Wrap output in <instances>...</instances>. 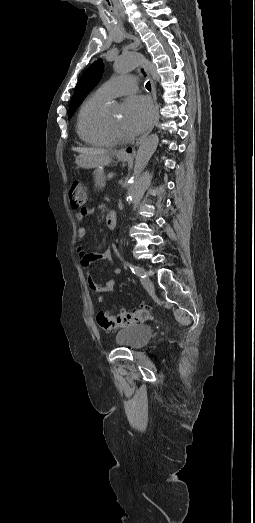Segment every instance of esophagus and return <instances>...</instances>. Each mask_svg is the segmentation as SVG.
Segmentation results:
<instances>
[{
  "instance_id": "34e87169",
  "label": "esophagus",
  "mask_w": 255,
  "mask_h": 523,
  "mask_svg": "<svg viewBox=\"0 0 255 523\" xmlns=\"http://www.w3.org/2000/svg\"><path fill=\"white\" fill-rule=\"evenodd\" d=\"M141 69L143 71H146L144 66H141ZM150 83H151V87H152V97H153L154 105H155L154 113H153V121L150 124V126L147 128L145 133H143V135L140 138H138V140L136 141L134 146H127V147H124V148L121 149V154H123V155H125L127 157H133L135 155V153H136V146L140 145L143 142V140L147 137V135H149V133L153 130L154 125H155V121H156L157 116H158L156 87L154 85V82H153L152 78H150Z\"/></svg>"
}]
</instances>
